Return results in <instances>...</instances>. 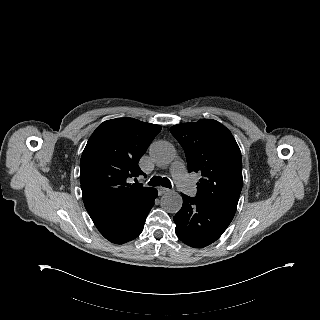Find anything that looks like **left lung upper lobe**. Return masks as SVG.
Masks as SVG:
<instances>
[{"mask_svg":"<svg viewBox=\"0 0 320 320\" xmlns=\"http://www.w3.org/2000/svg\"><path fill=\"white\" fill-rule=\"evenodd\" d=\"M171 134L185 151L188 171L201 174L196 198L235 215L242 190V159L231 132L211 119L174 125Z\"/></svg>","mask_w":320,"mask_h":320,"instance_id":"1","label":"left lung upper lobe"}]
</instances>
